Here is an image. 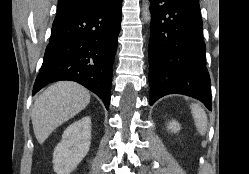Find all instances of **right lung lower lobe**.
Returning <instances> with one entry per match:
<instances>
[{"mask_svg":"<svg viewBox=\"0 0 249 174\" xmlns=\"http://www.w3.org/2000/svg\"><path fill=\"white\" fill-rule=\"evenodd\" d=\"M122 0L53 22L33 95L49 83L70 80L97 94L109 108Z\"/></svg>","mask_w":249,"mask_h":174,"instance_id":"right-lung-lower-lobe-1","label":"right lung lower lobe"}]
</instances>
